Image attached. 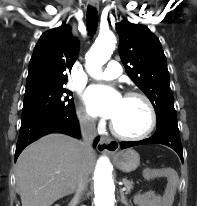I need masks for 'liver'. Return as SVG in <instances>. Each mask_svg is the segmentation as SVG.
Wrapping results in <instances>:
<instances>
[{
	"label": "liver",
	"instance_id": "1",
	"mask_svg": "<svg viewBox=\"0 0 197 206\" xmlns=\"http://www.w3.org/2000/svg\"><path fill=\"white\" fill-rule=\"evenodd\" d=\"M82 144L64 134H49L29 145L16 163V185L22 206H51L77 187ZM87 175L93 170L94 152L85 155Z\"/></svg>",
	"mask_w": 197,
	"mask_h": 206
}]
</instances>
